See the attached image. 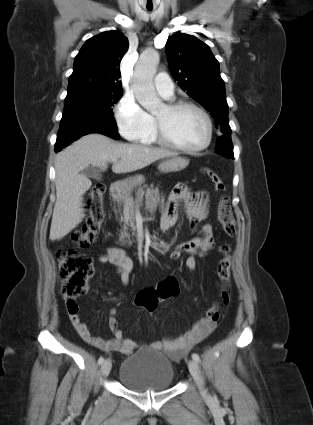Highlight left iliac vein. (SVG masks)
I'll use <instances>...</instances> for the list:
<instances>
[{
  "label": "left iliac vein",
  "mask_w": 313,
  "mask_h": 425,
  "mask_svg": "<svg viewBox=\"0 0 313 425\" xmlns=\"http://www.w3.org/2000/svg\"><path fill=\"white\" fill-rule=\"evenodd\" d=\"M188 367H189V371L192 375V377L194 378L200 393L205 396V397H209V394L204 386V382L201 376V372H200V368L198 363L195 360H189L188 361Z\"/></svg>",
  "instance_id": "obj_1"
}]
</instances>
